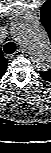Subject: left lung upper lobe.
I'll return each mask as SVG.
<instances>
[{
	"label": "left lung upper lobe",
	"mask_w": 51,
	"mask_h": 153,
	"mask_svg": "<svg viewBox=\"0 0 51 153\" xmlns=\"http://www.w3.org/2000/svg\"><path fill=\"white\" fill-rule=\"evenodd\" d=\"M40 20L43 24V26L45 27L50 40H51V0H47L42 8H41V16H40ZM40 76L48 82H51V69H49L48 71H41L40 72Z\"/></svg>",
	"instance_id": "obj_1"
}]
</instances>
